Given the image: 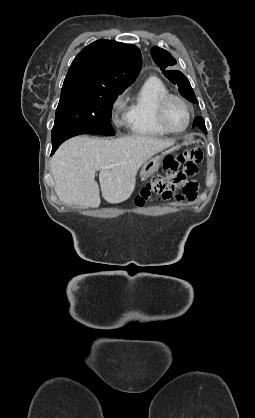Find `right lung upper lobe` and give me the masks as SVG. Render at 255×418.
<instances>
[{"label":"right lung upper lobe","mask_w":255,"mask_h":418,"mask_svg":"<svg viewBox=\"0 0 255 418\" xmlns=\"http://www.w3.org/2000/svg\"><path fill=\"white\" fill-rule=\"evenodd\" d=\"M140 50L132 44L98 40L73 60L63 86L77 85L125 90L138 76Z\"/></svg>","instance_id":"cb5924a9"}]
</instances>
